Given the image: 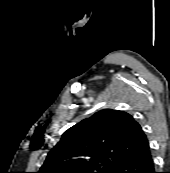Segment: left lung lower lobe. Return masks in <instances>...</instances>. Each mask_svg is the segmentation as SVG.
Instances as JSON below:
<instances>
[{"instance_id":"left-lung-lower-lobe-1","label":"left lung lower lobe","mask_w":170,"mask_h":173,"mask_svg":"<svg viewBox=\"0 0 170 173\" xmlns=\"http://www.w3.org/2000/svg\"><path fill=\"white\" fill-rule=\"evenodd\" d=\"M114 173H156L150 147L122 162Z\"/></svg>"}]
</instances>
